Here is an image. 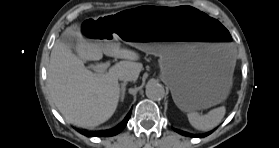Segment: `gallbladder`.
Listing matches in <instances>:
<instances>
[{"instance_id":"gallbladder-1","label":"gallbladder","mask_w":279,"mask_h":148,"mask_svg":"<svg viewBox=\"0 0 279 148\" xmlns=\"http://www.w3.org/2000/svg\"><path fill=\"white\" fill-rule=\"evenodd\" d=\"M60 41L64 43L66 46H68L70 49L75 50L76 49V42L75 38L71 35H67L66 33H63Z\"/></svg>"}]
</instances>
